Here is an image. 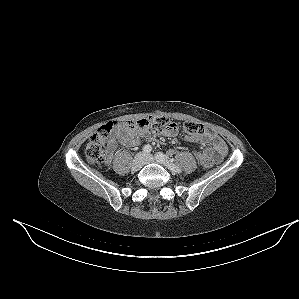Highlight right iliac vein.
Returning <instances> with one entry per match:
<instances>
[{
  "label": "right iliac vein",
  "mask_w": 299,
  "mask_h": 299,
  "mask_svg": "<svg viewBox=\"0 0 299 299\" xmlns=\"http://www.w3.org/2000/svg\"><path fill=\"white\" fill-rule=\"evenodd\" d=\"M145 164V156L142 153L137 154L132 162L131 169L133 172L139 171Z\"/></svg>",
  "instance_id": "1"
}]
</instances>
